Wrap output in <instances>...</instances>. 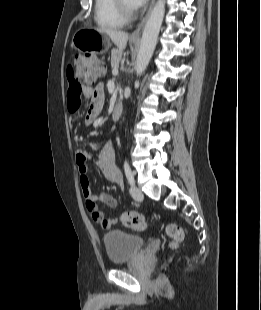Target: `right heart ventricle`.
<instances>
[{"label": "right heart ventricle", "mask_w": 261, "mask_h": 310, "mask_svg": "<svg viewBox=\"0 0 261 310\" xmlns=\"http://www.w3.org/2000/svg\"><path fill=\"white\" fill-rule=\"evenodd\" d=\"M94 20L103 29L121 28L126 23L117 12L113 0L94 1Z\"/></svg>", "instance_id": "right-heart-ventricle-1"}]
</instances>
